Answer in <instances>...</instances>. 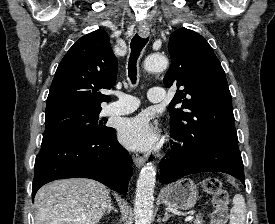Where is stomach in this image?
Listing matches in <instances>:
<instances>
[{
    "instance_id": "stomach-1",
    "label": "stomach",
    "mask_w": 275,
    "mask_h": 224,
    "mask_svg": "<svg viewBox=\"0 0 275 224\" xmlns=\"http://www.w3.org/2000/svg\"><path fill=\"white\" fill-rule=\"evenodd\" d=\"M161 199L168 207L189 210L198 200L197 186L189 178L180 179L163 189Z\"/></svg>"
}]
</instances>
